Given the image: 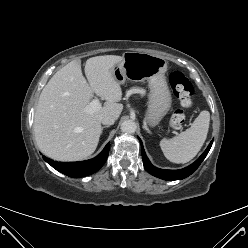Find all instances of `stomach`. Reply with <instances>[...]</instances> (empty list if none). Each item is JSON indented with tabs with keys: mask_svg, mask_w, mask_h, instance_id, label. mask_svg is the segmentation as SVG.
Instances as JSON below:
<instances>
[{
	"mask_svg": "<svg viewBox=\"0 0 248 248\" xmlns=\"http://www.w3.org/2000/svg\"><path fill=\"white\" fill-rule=\"evenodd\" d=\"M167 62L164 58L143 52H126L120 63L112 68L114 78L119 84L126 80L148 82V106L146 121L155 127L171 107V93L165 77Z\"/></svg>",
	"mask_w": 248,
	"mask_h": 248,
	"instance_id": "0dacf381",
	"label": "stomach"
}]
</instances>
